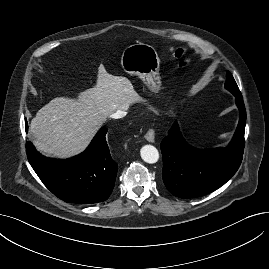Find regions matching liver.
I'll return each mask as SVG.
<instances>
[{
    "label": "liver",
    "mask_w": 269,
    "mask_h": 269,
    "mask_svg": "<svg viewBox=\"0 0 269 269\" xmlns=\"http://www.w3.org/2000/svg\"><path fill=\"white\" fill-rule=\"evenodd\" d=\"M139 100L129 79L101 69L96 85L78 99L57 97L36 113L30 124L33 143L44 154L58 158L79 154L108 117Z\"/></svg>",
    "instance_id": "1"
}]
</instances>
